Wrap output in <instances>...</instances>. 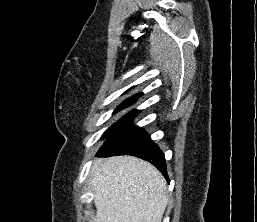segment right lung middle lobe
Masks as SVG:
<instances>
[{"label": "right lung middle lobe", "instance_id": "dd1d6c3e", "mask_svg": "<svg viewBox=\"0 0 257 222\" xmlns=\"http://www.w3.org/2000/svg\"><path fill=\"white\" fill-rule=\"evenodd\" d=\"M135 101L134 100H128L124 101L122 104H120L113 112V114L127 108L128 106L132 105ZM140 111L138 110H132L129 113H127L125 116H123L121 119H119L116 123H114L110 128H108L104 134L103 137H108V140L104 143L103 146L110 144L111 142H114L115 140L121 138L128 132L138 128L137 126H130L127 125Z\"/></svg>", "mask_w": 257, "mask_h": 222}]
</instances>
